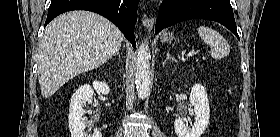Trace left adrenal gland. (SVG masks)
Listing matches in <instances>:
<instances>
[{
  "label": "left adrenal gland",
  "mask_w": 280,
  "mask_h": 137,
  "mask_svg": "<svg viewBox=\"0 0 280 137\" xmlns=\"http://www.w3.org/2000/svg\"><path fill=\"white\" fill-rule=\"evenodd\" d=\"M169 59H170V60H173V61L175 60L174 57H172L171 54L168 52V53H167V56H166V59H165V61H164L163 64H165V62H166L167 60H169Z\"/></svg>",
  "instance_id": "1"
}]
</instances>
